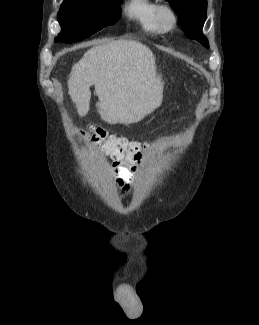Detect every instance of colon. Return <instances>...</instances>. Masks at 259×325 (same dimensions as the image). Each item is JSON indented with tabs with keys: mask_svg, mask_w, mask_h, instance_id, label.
<instances>
[{
	"mask_svg": "<svg viewBox=\"0 0 259 325\" xmlns=\"http://www.w3.org/2000/svg\"><path fill=\"white\" fill-rule=\"evenodd\" d=\"M82 135L114 160L140 162L149 148L148 143L109 134L107 130L98 126L83 131Z\"/></svg>",
	"mask_w": 259,
	"mask_h": 325,
	"instance_id": "5ec220e1",
	"label": "colon"
}]
</instances>
